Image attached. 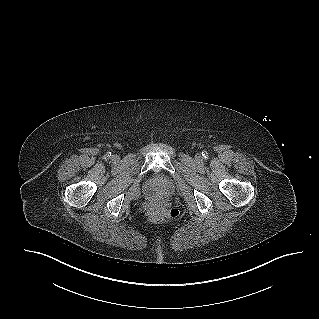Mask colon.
<instances>
[{
	"instance_id": "colon-1",
	"label": "colon",
	"mask_w": 319,
	"mask_h": 319,
	"mask_svg": "<svg viewBox=\"0 0 319 319\" xmlns=\"http://www.w3.org/2000/svg\"><path fill=\"white\" fill-rule=\"evenodd\" d=\"M148 214L152 218H160L163 216L175 217L177 215L175 211L173 210L169 211L165 209L164 207H160V206L150 208Z\"/></svg>"
}]
</instances>
